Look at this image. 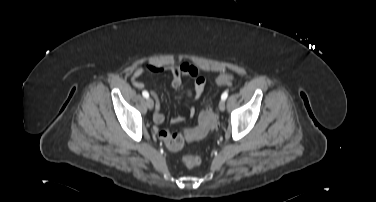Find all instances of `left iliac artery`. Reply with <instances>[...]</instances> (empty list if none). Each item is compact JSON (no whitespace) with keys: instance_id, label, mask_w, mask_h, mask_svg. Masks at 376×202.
Returning a JSON list of instances; mask_svg holds the SVG:
<instances>
[{"instance_id":"1","label":"left iliac artery","mask_w":376,"mask_h":202,"mask_svg":"<svg viewBox=\"0 0 376 202\" xmlns=\"http://www.w3.org/2000/svg\"><path fill=\"white\" fill-rule=\"evenodd\" d=\"M227 97H228V92L225 91V92L222 94L221 99H222V100H226Z\"/></svg>"}]
</instances>
